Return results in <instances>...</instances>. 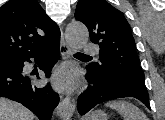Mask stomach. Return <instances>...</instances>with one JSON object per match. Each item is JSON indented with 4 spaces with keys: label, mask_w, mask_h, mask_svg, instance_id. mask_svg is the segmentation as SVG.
Here are the masks:
<instances>
[{
    "label": "stomach",
    "mask_w": 165,
    "mask_h": 120,
    "mask_svg": "<svg viewBox=\"0 0 165 120\" xmlns=\"http://www.w3.org/2000/svg\"><path fill=\"white\" fill-rule=\"evenodd\" d=\"M85 120H108V115L102 110H95L89 113Z\"/></svg>",
    "instance_id": "1"
}]
</instances>
